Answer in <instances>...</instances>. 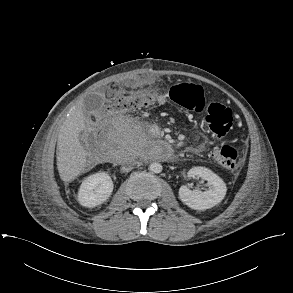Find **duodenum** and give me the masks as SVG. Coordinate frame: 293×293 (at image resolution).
<instances>
[{
  "label": "duodenum",
  "mask_w": 293,
  "mask_h": 293,
  "mask_svg": "<svg viewBox=\"0 0 293 293\" xmlns=\"http://www.w3.org/2000/svg\"><path fill=\"white\" fill-rule=\"evenodd\" d=\"M116 156H117V152L115 151V152H114L112 155H110L109 157H110V159L114 160Z\"/></svg>",
  "instance_id": "1"
}]
</instances>
